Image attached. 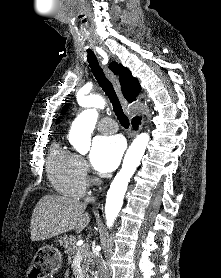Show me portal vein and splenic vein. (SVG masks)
I'll use <instances>...</instances> for the list:
<instances>
[{
  "instance_id": "obj_1",
  "label": "portal vein and splenic vein",
  "mask_w": 221,
  "mask_h": 278,
  "mask_svg": "<svg viewBox=\"0 0 221 278\" xmlns=\"http://www.w3.org/2000/svg\"><path fill=\"white\" fill-rule=\"evenodd\" d=\"M85 249V245L81 246V249L78 251L77 256H81L82 255V251Z\"/></svg>"
}]
</instances>
